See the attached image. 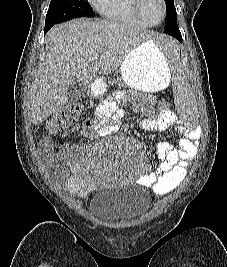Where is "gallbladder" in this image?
<instances>
[{"label":"gallbladder","instance_id":"bac80fb5","mask_svg":"<svg viewBox=\"0 0 227 267\" xmlns=\"http://www.w3.org/2000/svg\"><path fill=\"white\" fill-rule=\"evenodd\" d=\"M88 87L83 85L77 81L73 82L67 91L68 99L70 102H77L79 101L87 92Z\"/></svg>","mask_w":227,"mask_h":267}]
</instances>
